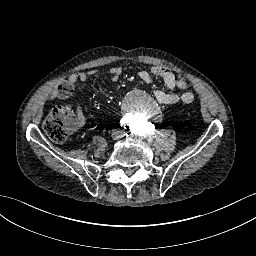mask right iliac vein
I'll list each match as a JSON object with an SVG mask.
<instances>
[{"mask_svg":"<svg viewBox=\"0 0 256 256\" xmlns=\"http://www.w3.org/2000/svg\"><path fill=\"white\" fill-rule=\"evenodd\" d=\"M111 137L114 138V139H116V138L119 137V134H118L117 132L113 131V132L111 133Z\"/></svg>","mask_w":256,"mask_h":256,"instance_id":"obj_1","label":"right iliac vein"}]
</instances>
